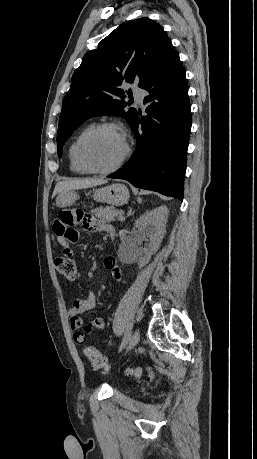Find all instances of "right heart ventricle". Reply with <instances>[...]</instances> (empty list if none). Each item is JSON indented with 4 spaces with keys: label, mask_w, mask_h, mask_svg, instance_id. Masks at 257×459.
Returning <instances> with one entry per match:
<instances>
[{
    "label": "right heart ventricle",
    "mask_w": 257,
    "mask_h": 459,
    "mask_svg": "<svg viewBox=\"0 0 257 459\" xmlns=\"http://www.w3.org/2000/svg\"><path fill=\"white\" fill-rule=\"evenodd\" d=\"M85 132L82 131L70 144L69 148H68V160H69V168L70 170L75 173V174H78V175H85L87 174L88 172H86L85 170H83L77 163L76 159H75V155H74V149H75V144L77 142V140L79 139V137Z\"/></svg>",
    "instance_id": "1"
}]
</instances>
